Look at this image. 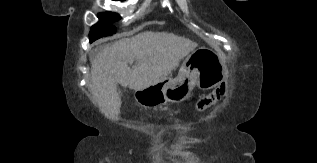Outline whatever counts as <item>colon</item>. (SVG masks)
I'll use <instances>...</instances> for the list:
<instances>
[{
	"mask_svg": "<svg viewBox=\"0 0 317 163\" xmlns=\"http://www.w3.org/2000/svg\"><path fill=\"white\" fill-rule=\"evenodd\" d=\"M223 93H224V88H219L209 94L201 96L196 103L197 108L199 110H205L209 108L218 100H220Z\"/></svg>",
	"mask_w": 317,
	"mask_h": 163,
	"instance_id": "colon-1",
	"label": "colon"
}]
</instances>
